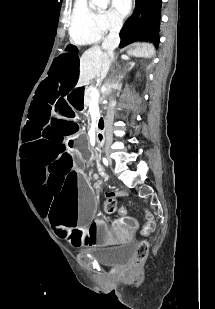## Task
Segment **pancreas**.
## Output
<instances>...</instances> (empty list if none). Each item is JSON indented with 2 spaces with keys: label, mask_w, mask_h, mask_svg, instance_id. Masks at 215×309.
Returning a JSON list of instances; mask_svg holds the SVG:
<instances>
[{
  "label": "pancreas",
  "mask_w": 215,
  "mask_h": 309,
  "mask_svg": "<svg viewBox=\"0 0 215 309\" xmlns=\"http://www.w3.org/2000/svg\"><path fill=\"white\" fill-rule=\"evenodd\" d=\"M93 88H96L95 84H90V86H85L84 102H85L86 106H88V104H90L91 92H92ZM94 108H95L98 116H100V108H99L98 102H96Z\"/></svg>",
  "instance_id": "pancreas-1"
}]
</instances>
